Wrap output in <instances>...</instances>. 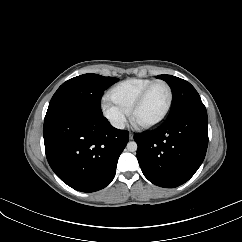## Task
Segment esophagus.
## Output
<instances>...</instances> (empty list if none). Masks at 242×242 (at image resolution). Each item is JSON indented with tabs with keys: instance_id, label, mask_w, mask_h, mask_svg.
Wrapping results in <instances>:
<instances>
[{
	"instance_id": "esophagus-1",
	"label": "esophagus",
	"mask_w": 242,
	"mask_h": 242,
	"mask_svg": "<svg viewBox=\"0 0 242 242\" xmlns=\"http://www.w3.org/2000/svg\"><path fill=\"white\" fill-rule=\"evenodd\" d=\"M134 137L133 133H129V139L132 140Z\"/></svg>"
}]
</instances>
